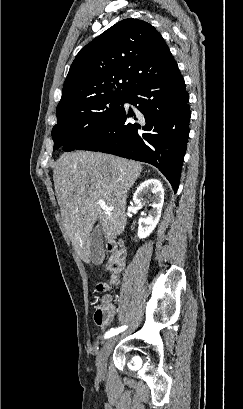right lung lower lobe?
Returning a JSON list of instances; mask_svg holds the SVG:
<instances>
[{"label": "right lung lower lobe", "instance_id": "right-lung-lower-lobe-1", "mask_svg": "<svg viewBox=\"0 0 243 409\" xmlns=\"http://www.w3.org/2000/svg\"><path fill=\"white\" fill-rule=\"evenodd\" d=\"M141 113L122 106L102 131L86 137L75 150H91L146 162L157 167L176 192L189 135V95L179 69L133 88L124 99ZM123 103V105H124ZM133 117L138 122L130 123Z\"/></svg>", "mask_w": 243, "mask_h": 409}]
</instances>
